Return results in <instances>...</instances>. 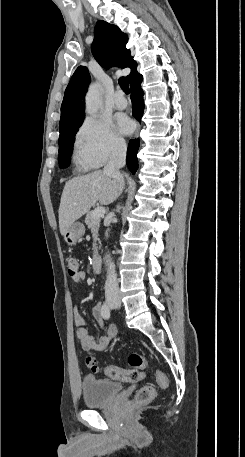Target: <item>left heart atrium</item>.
<instances>
[{
    "instance_id": "39dd6f15",
    "label": "left heart atrium",
    "mask_w": 245,
    "mask_h": 457,
    "mask_svg": "<svg viewBox=\"0 0 245 457\" xmlns=\"http://www.w3.org/2000/svg\"><path fill=\"white\" fill-rule=\"evenodd\" d=\"M117 126L123 134H129L133 129V123L124 116L118 117Z\"/></svg>"
}]
</instances>
